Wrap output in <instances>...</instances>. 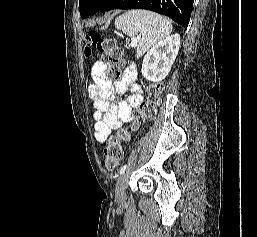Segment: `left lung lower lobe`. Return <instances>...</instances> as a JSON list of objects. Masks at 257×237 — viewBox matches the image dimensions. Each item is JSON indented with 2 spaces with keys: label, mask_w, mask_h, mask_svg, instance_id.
<instances>
[{
  "label": "left lung lower lobe",
  "mask_w": 257,
  "mask_h": 237,
  "mask_svg": "<svg viewBox=\"0 0 257 237\" xmlns=\"http://www.w3.org/2000/svg\"><path fill=\"white\" fill-rule=\"evenodd\" d=\"M194 0H109L100 11L113 9H147L170 17L174 22L188 26Z\"/></svg>",
  "instance_id": "0a47b994"
}]
</instances>
